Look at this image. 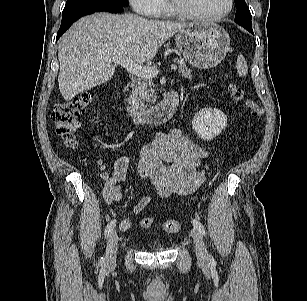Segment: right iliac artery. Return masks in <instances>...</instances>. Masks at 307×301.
I'll use <instances>...</instances> for the list:
<instances>
[{
    "mask_svg": "<svg viewBox=\"0 0 307 301\" xmlns=\"http://www.w3.org/2000/svg\"><path fill=\"white\" fill-rule=\"evenodd\" d=\"M115 226H116V220H111V221L107 224L106 229H105V237H108V236L112 233V231H113V229H114ZM100 263H101V264L104 263V258H101V259H100Z\"/></svg>",
    "mask_w": 307,
    "mask_h": 301,
    "instance_id": "1",
    "label": "right iliac artery"
}]
</instances>
